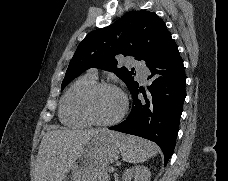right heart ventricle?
Wrapping results in <instances>:
<instances>
[{
    "label": "right heart ventricle",
    "mask_w": 228,
    "mask_h": 181,
    "mask_svg": "<svg viewBox=\"0 0 228 181\" xmlns=\"http://www.w3.org/2000/svg\"><path fill=\"white\" fill-rule=\"evenodd\" d=\"M96 83L93 75L80 76L67 91L60 112L61 120L73 126H86L90 122L83 116L80 102L86 90Z\"/></svg>",
    "instance_id": "1"
}]
</instances>
